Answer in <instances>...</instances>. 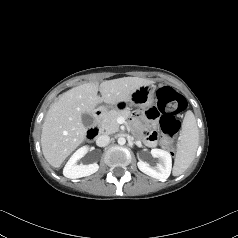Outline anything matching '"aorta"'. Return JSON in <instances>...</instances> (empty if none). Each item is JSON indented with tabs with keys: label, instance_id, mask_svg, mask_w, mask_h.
Returning <instances> with one entry per match:
<instances>
[{
	"label": "aorta",
	"instance_id": "aorta-1",
	"mask_svg": "<svg viewBox=\"0 0 238 238\" xmlns=\"http://www.w3.org/2000/svg\"><path fill=\"white\" fill-rule=\"evenodd\" d=\"M117 142L119 145H124L126 143V139L124 137H119Z\"/></svg>",
	"mask_w": 238,
	"mask_h": 238
}]
</instances>
